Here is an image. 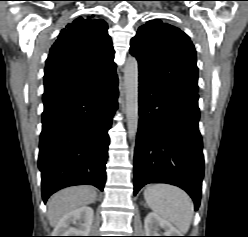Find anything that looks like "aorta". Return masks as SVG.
I'll return each mask as SVG.
<instances>
[{"label":"aorta","mask_w":248,"mask_h":237,"mask_svg":"<svg viewBox=\"0 0 248 237\" xmlns=\"http://www.w3.org/2000/svg\"><path fill=\"white\" fill-rule=\"evenodd\" d=\"M138 62L136 58L130 56L124 67V91L126 104L127 129L129 138L133 139L137 133L139 121L138 104Z\"/></svg>","instance_id":"762f6f07"}]
</instances>
